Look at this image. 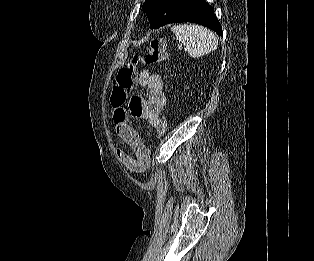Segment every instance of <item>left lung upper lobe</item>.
I'll return each instance as SVG.
<instances>
[{"instance_id": "5c2ea615", "label": "left lung upper lobe", "mask_w": 314, "mask_h": 261, "mask_svg": "<svg viewBox=\"0 0 314 261\" xmlns=\"http://www.w3.org/2000/svg\"><path fill=\"white\" fill-rule=\"evenodd\" d=\"M184 0H146L143 10L150 20L151 29L166 25Z\"/></svg>"}]
</instances>
